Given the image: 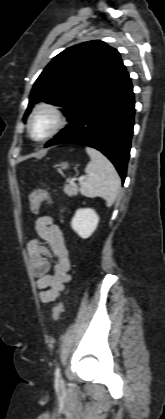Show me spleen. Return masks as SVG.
I'll use <instances>...</instances> for the list:
<instances>
[{
	"label": "spleen",
	"mask_w": 165,
	"mask_h": 419,
	"mask_svg": "<svg viewBox=\"0 0 165 419\" xmlns=\"http://www.w3.org/2000/svg\"><path fill=\"white\" fill-rule=\"evenodd\" d=\"M91 161L86 166L88 175L81 184L80 191L86 197H101L110 207L116 200L121 180L113 164L98 150L87 147Z\"/></svg>",
	"instance_id": "obj_1"
}]
</instances>
